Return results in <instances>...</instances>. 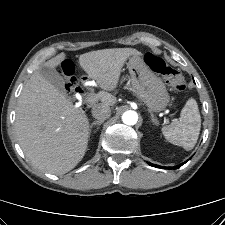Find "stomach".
<instances>
[{"label":"stomach","instance_id":"stomach-1","mask_svg":"<svg viewBox=\"0 0 225 225\" xmlns=\"http://www.w3.org/2000/svg\"><path fill=\"white\" fill-rule=\"evenodd\" d=\"M128 69L131 86L136 96L150 111L159 112L166 108L170 96L162 79L145 63L140 55L129 58Z\"/></svg>","mask_w":225,"mask_h":225}]
</instances>
